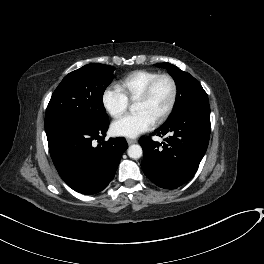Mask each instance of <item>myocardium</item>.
Masks as SVG:
<instances>
[{"label": "myocardium", "mask_w": 264, "mask_h": 264, "mask_svg": "<svg viewBox=\"0 0 264 264\" xmlns=\"http://www.w3.org/2000/svg\"><path fill=\"white\" fill-rule=\"evenodd\" d=\"M167 79L172 87V92H171V98H170V102L167 106V108L165 109V111L154 121L155 124H161L163 123L168 117L169 115L172 113L176 101H177V96H178V86L177 83L174 79V77L168 73H162L157 75L155 78H153L148 84L147 86L144 88V90L140 93V95L136 98V101H145L147 99H149V97L151 96L154 87L156 86L157 82L161 79Z\"/></svg>", "instance_id": "myocardium-1"}]
</instances>
